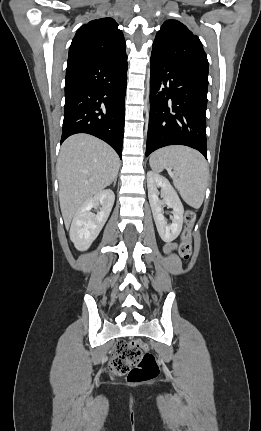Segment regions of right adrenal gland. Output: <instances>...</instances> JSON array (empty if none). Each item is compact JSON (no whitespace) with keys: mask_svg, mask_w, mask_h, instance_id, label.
<instances>
[{"mask_svg":"<svg viewBox=\"0 0 261 431\" xmlns=\"http://www.w3.org/2000/svg\"><path fill=\"white\" fill-rule=\"evenodd\" d=\"M116 182H117V176H115L114 180H113V186H116Z\"/></svg>","mask_w":261,"mask_h":431,"instance_id":"1","label":"right adrenal gland"}]
</instances>
